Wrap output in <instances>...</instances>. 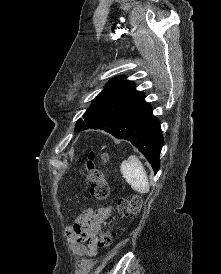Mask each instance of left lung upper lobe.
Listing matches in <instances>:
<instances>
[{
	"instance_id": "left-lung-upper-lobe-1",
	"label": "left lung upper lobe",
	"mask_w": 221,
	"mask_h": 274,
	"mask_svg": "<svg viewBox=\"0 0 221 274\" xmlns=\"http://www.w3.org/2000/svg\"><path fill=\"white\" fill-rule=\"evenodd\" d=\"M132 81L124 80V76H118L111 79L103 91L93 100L91 107L84 113L82 119H79L75 126V131H82L95 122L92 109L97 106L105 105L108 102H115L121 99H135L142 92L135 90Z\"/></svg>"
}]
</instances>
